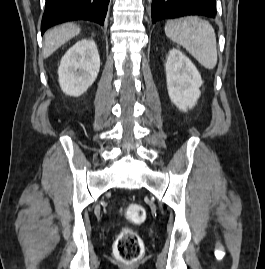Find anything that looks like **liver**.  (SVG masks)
<instances>
[{
  "instance_id": "liver-1",
  "label": "liver",
  "mask_w": 265,
  "mask_h": 269,
  "mask_svg": "<svg viewBox=\"0 0 265 269\" xmlns=\"http://www.w3.org/2000/svg\"><path fill=\"white\" fill-rule=\"evenodd\" d=\"M81 29L78 25L67 23L55 27L45 34L43 56L44 58L52 55L59 47L65 44L68 40L80 33Z\"/></svg>"
}]
</instances>
